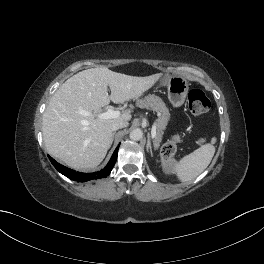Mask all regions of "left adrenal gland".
Instances as JSON below:
<instances>
[{"label": "left adrenal gland", "instance_id": "obj_1", "mask_svg": "<svg viewBox=\"0 0 264 264\" xmlns=\"http://www.w3.org/2000/svg\"><path fill=\"white\" fill-rule=\"evenodd\" d=\"M147 137H148V140H147L146 149H147L148 152L150 151V153L152 155L151 136H150L149 133H148V136Z\"/></svg>", "mask_w": 264, "mask_h": 264}]
</instances>
